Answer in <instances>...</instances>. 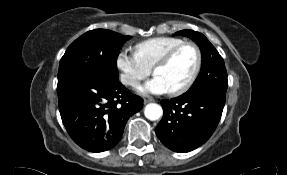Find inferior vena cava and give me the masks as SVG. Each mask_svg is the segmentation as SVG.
Masks as SVG:
<instances>
[{
	"instance_id": "obj_1",
	"label": "inferior vena cava",
	"mask_w": 287,
	"mask_h": 175,
	"mask_svg": "<svg viewBox=\"0 0 287 175\" xmlns=\"http://www.w3.org/2000/svg\"><path fill=\"white\" fill-rule=\"evenodd\" d=\"M124 83L133 85V84H135V81L132 80V79H125V80H124Z\"/></svg>"
}]
</instances>
